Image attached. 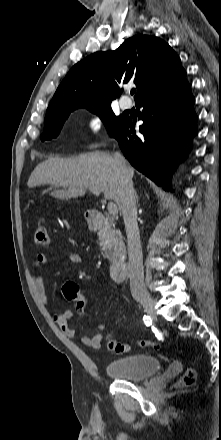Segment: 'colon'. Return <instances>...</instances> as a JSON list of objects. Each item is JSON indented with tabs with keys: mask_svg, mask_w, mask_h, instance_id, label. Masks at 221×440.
Instances as JSON below:
<instances>
[{
	"mask_svg": "<svg viewBox=\"0 0 221 440\" xmlns=\"http://www.w3.org/2000/svg\"><path fill=\"white\" fill-rule=\"evenodd\" d=\"M34 240L36 245L40 247H49L50 245V237L46 227L39 226L35 230ZM62 294L64 298L70 302H74L76 304V308L78 311H83L87 306V301L79 290V287L71 281H67L62 286ZM107 347L109 350L114 351L116 353H123L129 350V346L124 344L117 339L113 338L111 335H107ZM141 347H151L153 349H160L161 345L158 342L150 341V340H141L139 342ZM196 381V372L194 369H187L183 374L179 381V385L181 387H190Z\"/></svg>",
	"mask_w": 221,
	"mask_h": 440,
	"instance_id": "colon-1",
	"label": "colon"
}]
</instances>
